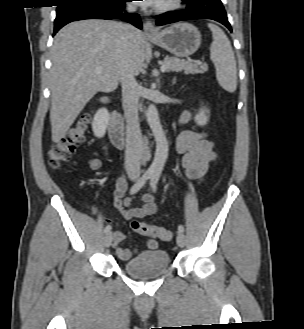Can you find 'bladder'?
<instances>
[{"label":"bladder","instance_id":"31cf9c89","mask_svg":"<svg viewBox=\"0 0 304 329\" xmlns=\"http://www.w3.org/2000/svg\"><path fill=\"white\" fill-rule=\"evenodd\" d=\"M170 266V256L162 249H153L140 253L123 263V270L138 279L155 278Z\"/></svg>","mask_w":304,"mask_h":329}]
</instances>
